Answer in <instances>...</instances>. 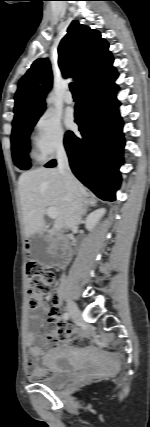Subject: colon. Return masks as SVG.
<instances>
[{
	"label": "colon",
	"mask_w": 150,
	"mask_h": 427,
	"mask_svg": "<svg viewBox=\"0 0 150 427\" xmlns=\"http://www.w3.org/2000/svg\"><path fill=\"white\" fill-rule=\"evenodd\" d=\"M28 277L27 294L30 304L35 306L48 296L55 281V273L45 269L40 263L30 261L26 267Z\"/></svg>",
	"instance_id": "obj_1"
}]
</instances>
